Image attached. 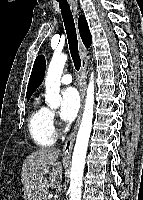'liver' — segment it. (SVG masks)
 I'll list each match as a JSON object with an SVG mask.
<instances>
[{"mask_svg":"<svg viewBox=\"0 0 143 200\" xmlns=\"http://www.w3.org/2000/svg\"><path fill=\"white\" fill-rule=\"evenodd\" d=\"M59 155V149L40 148L26 157L21 172L25 200H44L49 188L61 187L63 169ZM46 169L50 170L49 179Z\"/></svg>","mask_w":143,"mask_h":200,"instance_id":"liver-1","label":"liver"}]
</instances>
